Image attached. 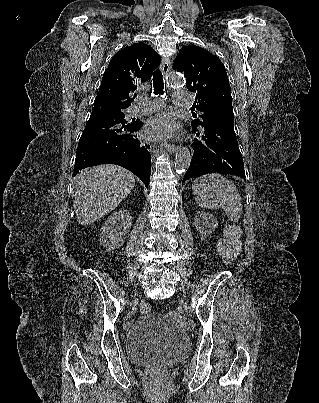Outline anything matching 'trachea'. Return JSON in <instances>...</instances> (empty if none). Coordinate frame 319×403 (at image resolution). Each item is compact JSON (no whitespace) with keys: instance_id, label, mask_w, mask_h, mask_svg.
Instances as JSON below:
<instances>
[{"instance_id":"1","label":"trachea","mask_w":319,"mask_h":403,"mask_svg":"<svg viewBox=\"0 0 319 403\" xmlns=\"http://www.w3.org/2000/svg\"><path fill=\"white\" fill-rule=\"evenodd\" d=\"M153 88H154V94H164V82H163V76L160 70H156L153 73Z\"/></svg>"}]
</instances>
